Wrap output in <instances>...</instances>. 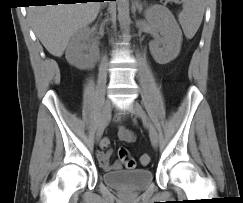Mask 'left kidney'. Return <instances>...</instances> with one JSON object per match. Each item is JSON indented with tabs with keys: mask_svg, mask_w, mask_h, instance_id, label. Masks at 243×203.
<instances>
[{
	"mask_svg": "<svg viewBox=\"0 0 243 203\" xmlns=\"http://www.w3.org/2000/svg\"><path fill=\"white\" fill-rule=\"evenodd\" d=\"M145 19L156 32L155 40L149 43L154 60L159 64L171 62L179 55L182 43V32L174 16L167 8L154 5L145 11Z\"/></svg>",
	"mask_w": 243,
	"mask_h": 203,
	"instance_id": "5707ae66",
	"label": "left kidney"
}]
</instances>
